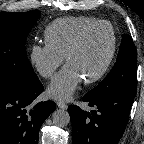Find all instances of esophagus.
I'll return each instance as SVG.
<instances>
[{"label":"esophagus","instance_id":"34e87169","mask_svg":"<svg viewBox=\"0 0 144 144\" xmlns=\"http://www.w3.org/2000/svg\"><path fill=\"white\" fill-rule=\"evenodd\" d=\"M57 106L64 110L67 109V105L63 101H57Z\"/></svg>","mask_w":144,"mask_h":144}]
</instances>
